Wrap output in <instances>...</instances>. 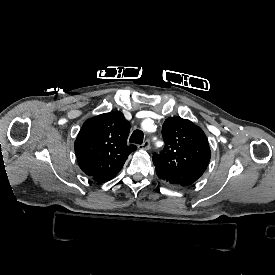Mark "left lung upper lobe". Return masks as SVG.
I'll return each mask as SVG.
<instances>
[{"mask_svg": "<svg viewBox=\"0 0 275 275\" xmlns=\"http://www.w3.org/2000/svg\"><path fill=\"white\" fill-rule=\"evenodd\" d=\"M164 150L153 157L154 165L179 186L199 179L211 157L208 140L198 126L180 117H169L162 129Z\"/></svg>", "mask_w": 275, "mask_h": 275, "instance_id": "left-lung-upper-lobe-1", "label": "left lung upper lobe"}]
</instances>
